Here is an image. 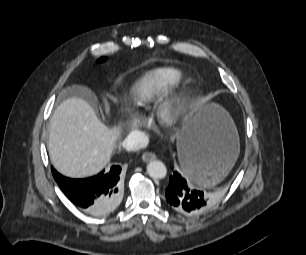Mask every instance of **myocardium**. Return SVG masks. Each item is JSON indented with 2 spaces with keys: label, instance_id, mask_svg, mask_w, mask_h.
Segmentation results:
<instances>
[{
  "label": "myocardium",
  "instance_id": "myocardium-1",
  "mask_svg": "<svg viewBox=\"0 0 306 255\" xmlns=\"http://www.w3.org/2000/svg\"><path fill=\"white\" fill-rule=\"evenodd\" d=\"M188 90H181L164 99L156 110L158 123L165 127L176 125L183 117L187 100Z\"/></svg>",
  "mask_w": 306,
  "mask_h": 255
}]
</instances>
